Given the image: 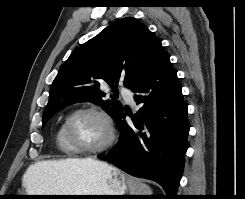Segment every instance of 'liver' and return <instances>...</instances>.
Wrapping results in <instances>:
<instances>
[{
  "label": "liver",
  "instance_id": "obj_1",
  "mask_svg": "<svg viewBox=\"0 0 245 199\" xmlns=\"http://www.w3.org/2000/svg\"><path fill=\"white\" fill-rule=\"evenodd\" d=\"M95 164L100 163H96L92 158L40 161L29 166L23 176V184L28 192L61 193L64 190L57 182L59 177L73 174L82 167Z\"/></svg>",
  "mask_w": 245,
  "mask_h": 199
}]
</instances>
